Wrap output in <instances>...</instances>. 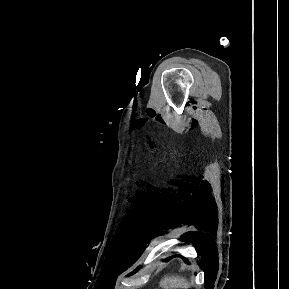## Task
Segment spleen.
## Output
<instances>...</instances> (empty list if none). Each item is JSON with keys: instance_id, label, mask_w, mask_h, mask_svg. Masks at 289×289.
<instances>
[{"instance_id": "spleen-1", "label": "spleen", "mask_w": 289, "mask_h": 289, "mask_svg": "<svg viewBox=\"0 0 289 289\" xmlns=\"http://www.w3.org/2000/svg\"><path fill=\"white\" fill-rule=\"evenodd\" d=\"M159 285L162 289H188L191 286L185 277L179 275L165 276Z\"/></svg>"}]
</instances>
